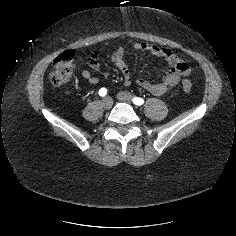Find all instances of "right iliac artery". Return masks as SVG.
Wrapping results in <instances>:
<instances>
[{"label":"right iliac artery","instance_id":"obj_1","mask_svg":"<svg viewBox=\"0 0 236 236\" xmlns=\"http://www.w3.org/2000/svg\"><path fill=\"white\" fill-rule=\"evenodd\" d=\"M107 94V89L106 88H101L100 90H99V95L100 96H105Z\"/></svg>","mask_w":236,"mask_h":236}]
</instances>
